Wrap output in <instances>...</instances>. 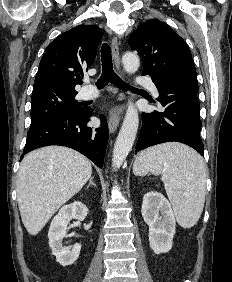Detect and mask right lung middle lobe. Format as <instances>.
I'll use <instances>...</instances> for the list:
<instances>
[{
    "instance_id": "right-lung-middle-lobe-1",
    "label": "right lung middle lobe",
    "mask_w": 232,
    "mask_h": 282,
    "mask_svg": "<svg viewBox=\"0 0 232 282\" xmlns=\"http://www.w3.org/2000/svg\"><path fill=\"white\" fill-rule=\"evenodd\" d=\"M76 91L50 89L32 93L31 125L38 126L63 113H80L86 108L75 100Z\"/></svg>"
}]
</instances>
